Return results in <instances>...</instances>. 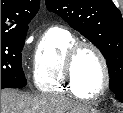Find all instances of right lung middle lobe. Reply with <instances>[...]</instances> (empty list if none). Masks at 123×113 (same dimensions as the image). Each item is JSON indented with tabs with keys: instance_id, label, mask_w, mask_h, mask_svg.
<instances>
[{
	"instance_id": "right-lung-middle-lobe-1",
	"label": "right lung middle lobe",
	"mask_w": 123,
	"mask_h": 113,
	"mask_svg": "<svg viewBox=\"0 0 123 113\" xmlns=\"http://www.w3.org/2000/svg\"><path fill=\"white\" fill-rule=\"evenodd\" d=\"M25 36L1 38V89L21 88L27 84L21 64Z\"/></svg>"
}]
</instances>
